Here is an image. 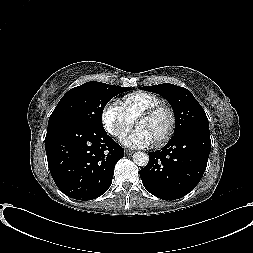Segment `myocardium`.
<instances>
[{"mask_svg":"<svg viewBox=\"0 0 253 253\" xmlns=\"http://www.w3.org/2000/svg\"><path fill=\"white\" fill-rule=\"evenodd\" d=\"M162 111H165L169 115V125L163 136L156 142L157 145H163L167 143L174 134L176 128V115L174 110L166 104L159 103L157 105L146 108L137 116L138 120L141 117H152Z\"/></svg>","mask_w":253,"mask_h":253,"instance_id":"myocardium-1","label":"myocardium"}]
</instances>
